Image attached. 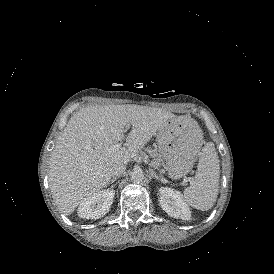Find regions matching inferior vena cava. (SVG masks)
<instances>
[{
  "label": "inferior vena cava",
  "mask_w": 274,
  "mask_h": 274,
  "mask_svg": "<svg viewBox=\"0 0 274 274\" xmlns=\"http://www.w3.org/2000/svg\"><path fill=\"white\" fill-rule=\"evenodd\" d=\"M126 171V165L125 164H120L116 165L112 171V177L113 178H118L122 176Z\"/></svg>",
  "instance_id": "obj_1"
}]
</instances>
